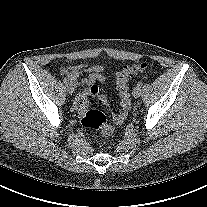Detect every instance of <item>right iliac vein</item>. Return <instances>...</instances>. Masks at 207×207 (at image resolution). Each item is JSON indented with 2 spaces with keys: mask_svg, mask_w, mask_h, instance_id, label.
<instances>
[{
  "mask_svg": "<svg viewBox=\"0 0 207 207\" xmlns=\"http://www.w3.org/2000/svg\"><path fill=\"white\" fill-rule=\"evenodd\" d=\"M66 89H67V92L70 94L74 92V87L72 84H67Z\"/></svg>",
  "mask_w": 207,
  "mask_h": 207,
  "instance_id": "1",
  "label": "right iliac vein"
}]
</instances>
